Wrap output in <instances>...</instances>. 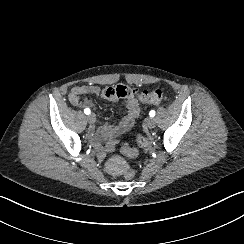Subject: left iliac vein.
Returning a JSON list of instances; mask_svg holds the SVG:
<instances>
[{
    "mask_svg": "<svg viewBox=\"0 0 244 244\" xmlns=\"http://www.w3.org/2000/svg\"><path fill=\"white\" fill-rule=\"evenodd\" d=\"M145 124L148 128L153 129L156 126V121L154 118L149 117L146 119Z\"/></svg>",
    "mask_w": 244,
    "mask_h": 244,
    "instance_id": "obj_1",
    "label": "left iliac vein"
}]
</instances>
